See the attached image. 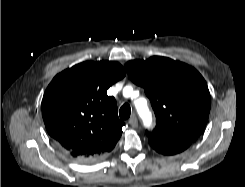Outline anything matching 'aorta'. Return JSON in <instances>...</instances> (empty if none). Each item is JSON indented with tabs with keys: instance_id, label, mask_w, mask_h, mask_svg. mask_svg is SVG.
<instances>
[{
	"instance_id": "762f6f07",
	"label": "aorta",
	"mask_w": 245,
	"mask_h": 187,
	"mask_svg": "<svg viewBox=\"0 0 245 187\" xmlns=\"http://www.w3.org/2000/svg\"><path fill=\"white\" fill-rule=\"evenodd\" d=\"M136 107H137L138 112L145 119V121H147V122L150 121V118H148V119L145 118L146 115L149 116L146 105H140L139 103H137Z\"/></svg>"
}]
</instances>
